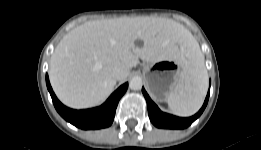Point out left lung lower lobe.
Here are the masks:
<instances>
[{"label":"left lung lower lobe","instance_id":"obj_1","mask_svg":"<svg viewBox=\"0 0 261 150\" xmlns=\"http://www.w3.org/2000/svg\"><path fill=\"white\" fill-rule=\"evenodd\" d=\"M142 92L147 101L149 118L156 127L167 129H184L191 125L192 122H194L204 111L208 102L210 89L202 108L199 110L197 114L189 118H180L161 112L160 109L156 106V104L150 99L144 88H142Z\"/></svg>","mask_w":261,"mask_h":150}]
</instances>
